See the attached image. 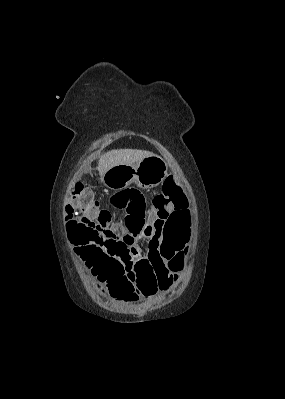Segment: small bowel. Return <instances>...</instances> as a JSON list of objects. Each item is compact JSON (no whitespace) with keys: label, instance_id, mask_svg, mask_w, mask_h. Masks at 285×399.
Instances as JSON below:
<instances>
[{"label":"small bowel","instance_id":"1","mask_svg":"<svg viewBox=\"0 0 285 399\" xmlns=\"http://www.w3.org/2000/svg\"><path fill=\"white\" fill-rule=\"evenodd\" d=\"M162 222V220L159 218V215L155 209H152L148 212V223L145 225L143 229L142 236L144 239H147L149 241V248L151 249H157L160 245V243L163 240V236L161 233L158 232L156 225L158 223ZM191 226H192V220L188 219L185 223L178 225L173 228V231L175 232H183L187 235L189 238L190 232H191ZM138 255H141L140 250L138 249L137 251ZM188 254V249L185 248L183 251V258L187 256ZM148 254H144L146 257ZM94 268V267H93ZM100 270L102 271H108L112 270L115 272H118L116 269V266L113 262L108 261L105 262L100 266ZM130 275H131V270H129V267L127 265L124 266V269L122 272H118V280L119 281H129L130 280ZM181 281V275L175 274L173 276H170L163 280L161 283H159V288L162 292L168 293L170 292L175 286H177ZM97 292L103 296V297H109L112 298L115 301L119 302H129L128 300L124 298H120L118 296H115L110 293L108 288L105 285H102L100 288L97 289ZM153 296V294H148V295H141V298H150Z\"/></svg>","mask_w":285,"mask_h":399}]
</instances>
